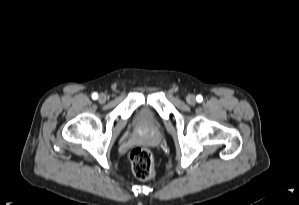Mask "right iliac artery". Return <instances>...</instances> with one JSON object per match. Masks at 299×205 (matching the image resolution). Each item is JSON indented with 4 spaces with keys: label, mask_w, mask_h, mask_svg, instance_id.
Listing matches in <instances>:
<instances>
[{
    "label": "right iliac artery",
    "mask_w": 299,
    "mask_h": 205,
    "mask_svg": "<svg viewBox=\"0 0 299 205\" xmlns=\"http://www.w3.org/2000/svg\"><path fill=\"white\" fill-rule=\"evenodd\" d=\"M92 98H93L94 100H96V99L98 98V94H97V93H93V94H92Z\"/></svg>",
    "instance_id": "obj_1"
}]
</instances>
